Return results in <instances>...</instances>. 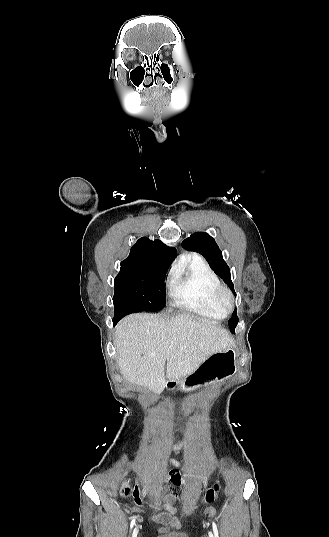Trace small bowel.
Listing matches in <instances>:
<instances>
[{
  "instance_id": "1",
  "label": "small bowel",
  "mask_w": 329,
  "mask_h": 537,
  "mask_svg": "<svg viewBox=\"0 0 329 537\" xmlns=\"http://www.w3.org/2000/svg\"><path fill=\"white\" fill-rule=\"evenodd\" d=\"M182 448L183 444H178L173 447V451L178 454L181 452ZM165 470L168 476L167 478L172 484V487L170 489V494L166 495L164 497V501L160 503V507L163 510L168 511L172 515L173 520L168 521L167 516L162 512L154 513L151 517L152 520L157 523H168L173 527H178L180 522L176 517L177 508L174 506V502L180 499L178 488L181 484L186 482V477L184 474L180 473L181 464L177 460L168 459L165 464ZM181 499H184V496H181ZM135 502L138 510H142L144 508L145 501L140 495H135ZM179 503H182V500H179Z\"/></svg>"
}]
</instances>
